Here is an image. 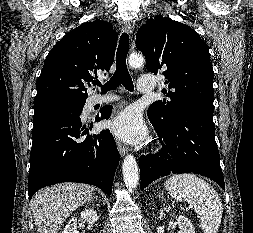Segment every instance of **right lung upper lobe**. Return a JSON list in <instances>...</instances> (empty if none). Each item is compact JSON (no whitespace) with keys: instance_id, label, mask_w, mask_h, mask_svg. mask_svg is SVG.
<instances>
[{"instance_id":"right-lung-upper-lobe-1","label":"right lung upper lobe","mask_w":253,"mask_h":233,"mask_svg":"<svg viewBox=\"0 0 253 233\" xmlns=\"http://www.w3.org/2000/svg\"><path fill=\"white\" fill-rule=\"evenodd\" d=\"M118 35L111 23L86 22L66 34L49 52L34 104L56 98L86 100L87 85L113 64Z\"/></svg>"}]
</instances>
